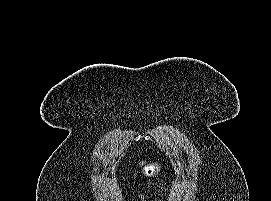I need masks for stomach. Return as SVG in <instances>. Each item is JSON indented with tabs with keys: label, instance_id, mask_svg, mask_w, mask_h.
I'll return each mask as SVG.
<instances>
[{
	"label": "stomach",
	"instance_id": "obj_1",
	"mask_svg": "<svg viewBox=\"0 0 271 201\" xmlns=\"http://www.w3.org/2000/svg\"><path fill=\"white\" fill-rule=\"evenodd\" d=\"M161 166L158 163L147 164L143 167L142 172L146 177H154L160 171Z\"/></svg>",
	"mask_w": 271,
	"mask_h": 201
}]
</instances>
